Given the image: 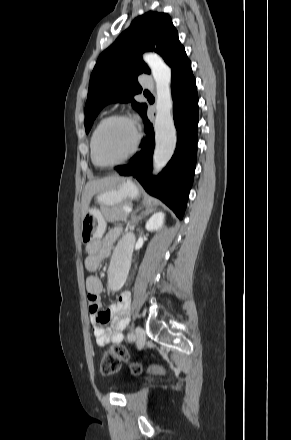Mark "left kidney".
I'll use <instances>...</instances> for the list:
<instances>
[{
    "label": "left kidney",
    "instance_id": "obj_1",
    "mask_svg": "<svg viewBox=\"0 0 291 440\" xmlns=\"http://www.w3.org/2000/svg\"><path fill=\"white\" fill-rule=\"evenodd\" d=\"M165 214L160 211L154 213L146 223V230L153 232L158 231L163 227Z\"/></svg>",
    "mask_w": 291,
    "mask_h": 440
}]
</instances>
